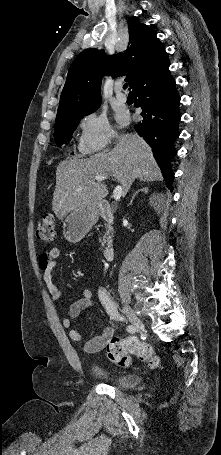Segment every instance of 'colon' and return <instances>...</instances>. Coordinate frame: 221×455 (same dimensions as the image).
<instances>
[{
  "label": "colon",
  "instance_id": "colon-1",
  "mask_svg": "<svg viewBox=\"0 0 221 455\" xmlns=\"http://www.w3.org/2000/svg\"><path fill=\"white\" fill-rule=\"evenodd\" d=\"M36 234L41 241H52L56 235L54 216H43L38 222ZM106 353L110 361L121 367L130 365L131 355L146 361L152 369L160 368L162 365L161 359L154 353L152 346L135 337L110 338L106 344Z\"/></svg>",
  "mask_w": 221,
  "mask_h": 455
}]
</instances>
